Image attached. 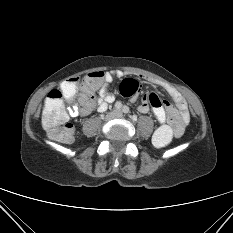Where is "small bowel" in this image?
I'll list each match as a JSON object with an SVG mask.
<instances>
[{
  "label": "small bowel",
  "instance_id": "c3829d8e",
  "mask_svg": "<svg viewBox=\"0 0 233 233\" xmlns=\"http://www.w3.org/2000/svg\"><path fill=\"white\" fill-rule=\"evenodd\" d=\"M122 76L123 72L118 70L104 73L103 81L95 99L85 97L80 90L79 105L72 109L71 114L73 116H87L95 108L100 112L105 111L108 104L115 100L114 95L109 92V86L114 78H120ZM150 82L154 85H160L170 95L174 105L166 100H160L154 91H150L139 104V111L147 113L152 110L161 124L167 121L172 126L174 135L180 137L184 133L185 126L189 121L188 107L184 97L176 88L169 84L158 83L153 80H150ZM136 99L135 93L132 95L131 100L135 102Z\"/></svg>",
  "mask_w": 233,
  "mask_h": 233
}]
</instances>
